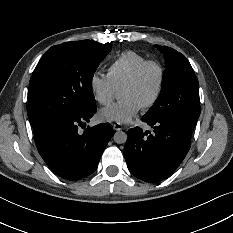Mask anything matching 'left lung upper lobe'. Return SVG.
Masks as SVG:
<instances>
[{"label": "left lung upper lobe", "instance_id": "1", "mask_svg": "<svg viewBox=\"0 0 233 233\" xmlns=\"http://www.w3.org/2000/svg\"><path fill=\"white\" fill-rule=\"evenodd\" d=\"M156 47L164 55L166 70L161 93L143 118L148 121L179 119L197 122L200 115L198 80L189 61L170 47Z\"/></svg>", "mask_w": 233, "mask_h": 233}]
</instances>
